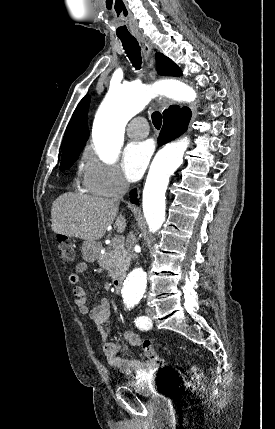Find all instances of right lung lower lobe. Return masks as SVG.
Here are the masks:
<instances>
[{
	"label": "right lung lower lobe",
	"mask_w": 275,
	"mask_h": 429,
	"mask_svg": "<svg viewBox=\"0 0 275 429\" xmlns=\"http://www.w3.org/2000/svg\"><path fill=\"white\" fill-rule=\"evenodd\" d=\"M164 123L159 135V144L163 145L183 134L191 118V111L186 107L171 106L163 112ZM137 190L130 192V201L137 204Z\"/></svg>",
	"instance_id": "1"
}]
</instances>
